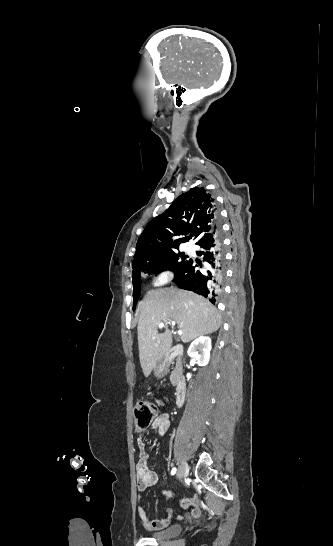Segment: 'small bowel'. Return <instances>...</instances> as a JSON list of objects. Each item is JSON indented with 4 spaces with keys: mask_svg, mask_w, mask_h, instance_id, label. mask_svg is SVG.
I'll return each instance as SVG.
<instances>
[{
    "mask_svg": "<svg viewBox=\"0 0 333 546\" xmlns=\"http://www.w3.org/2000/svg\"><path fill=\"white\" fill-rule=\"evenodd\" d=\"M170 427V417L168 413L159 414L153 422L152 428L157 431L160 436L166 434ZM137 446L139 450V460L136 465V477H137V488H138V502L139 506L137 508L138 516L143 523V525L148 529L158 530L166 527L171 520L173 509L167 508L165 516L159 519H149L147 517L145 508L141 504L143 502V491L149 487H152L156 484L157 475L148 465V452L146 448V443L139 437L137 439ZM168 497H171L170 494H167ZM181 504L184 508L194 506L190 516L197 517L200 514V509L198 503L192 501L191 499H184L181 501ZM182 518L183 516L180 515Z\"/></svg>",
    "mask_w": 333,
    "mask_h": 546,
    "instance_id": "small-bowel-1",
    "label": "small bowel"
}]
</instances>
